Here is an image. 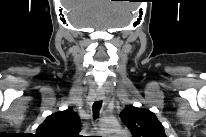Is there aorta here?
<instances>
[{"label":"aorta","mask_w":206,"mask_h":137,"mask_svg":"<svg viewBox=\"0 0 206 137\" xmlns=\"http://www.w3.org/2000/svg\"><path fill=\"white\" fill-rule=\"evenodd\" d=\"M105 131L108 133L118 134V133H120V128H119L117 123L105 124Z\"/></svg>","instance_id":"obj_1"}]
</instances>
